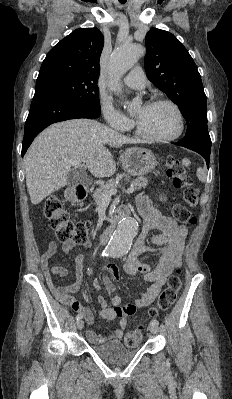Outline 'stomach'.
<instances>
[{
  "label": "stomach",
  "mask_w": 232,
  "mask_h": 399,
  "mask_svg": "<svg viewBox=\"0 0 232 399\" xmlns=\"http://www.w3.org/2000/svg\"><path fill=\"white\" fill-rule=\"evenodd\" d=\"M120 164L127 174L142 176L152 172L157 166L156 156L146 148H129L120 156Z\"/></svg>",
  "instance_id": "obj_1"
}]
</instances>
